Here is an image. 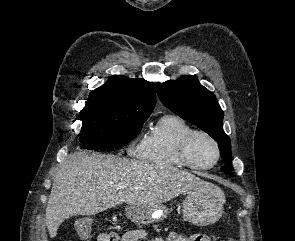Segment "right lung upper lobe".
I'll return each mask as SVG.
<instances>
[{
    "label": "right lung upper lobe",
    "instance_id": "obj_1",
    "mask_svg": "<svg viewBox=\"0 0 295 241\" xmlns=\"http://www.w3.org/2000/svg\"><path fill=\"white\" fill-rule=\"evenodd\" d=\"M93 94L110 96L149 113L156 103L154 83L125 76L111 77L103 86L90 93Z\"/></svg>",
    "mask_w": 295,
    "mask_h": 241
}]
</instances>
